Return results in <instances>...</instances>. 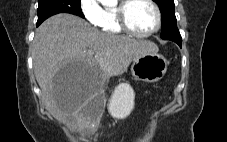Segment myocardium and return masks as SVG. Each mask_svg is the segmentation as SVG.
Returning a JSON list of instances; mask_svg holds the SVG:
<instances>
[{
  "label": "myocardium",
  "instance_id": "f54148a6",
  "mask_svg": "<svg viewBox=\"0 0 227 142\" xmlns=\"http://www.w3.org/2000/svg\"><path fill=\"white\" fill-rule=\"evenodd\" d=\"M155 10L156 13V25L155 27L145 33H140L135 31L129 24L128 21V9L129 6L134 2V0H120V3L118 4V6L115 8V12H116V18H117V22L120 26V28L135 37H139V38H146V37H150L152 35H154L155 33H157L162 25V12L161 9L159 7V5L157 4V2L155 0H146Z\"/></svg>",
  "mask_w": 227,
  "mask_h": 142
}]
</instances>
